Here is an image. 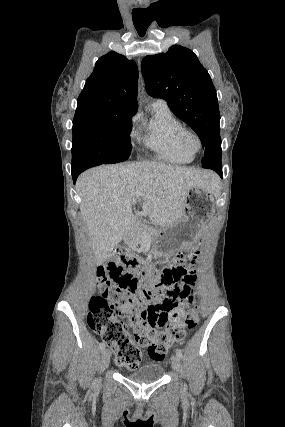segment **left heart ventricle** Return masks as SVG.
<instances>
[{
	"instance_id": "b2bd125f",
	"label": "left heart ventricle",
	"mask_w": 285,
	"mask_h": 427,
	"mask_svg": "<svg viewBox=\"0 0 285 427\" xmlns=\"http://www.w3.org/2000/svg\"><path fill=\"white\" fill-rule=\"evenodd\" d=\"M187 143H188V145H189L190 147H195V146H196V142H195V140H194L192 137H189V138L187 139Z\"/></svg>"
}]
</instances>
